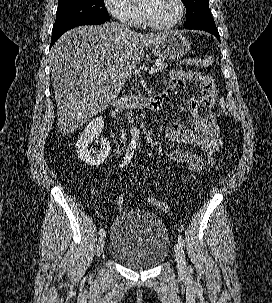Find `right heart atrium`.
<instances>
[{"mask_svg":"<svg viewBox=\"0 0 272 303\" xmlns=\"http://www.w3.org/2000/svg\"><path fill=\"white\" fill-rule=\"evenodd\" d=\"M105 7L111 15L125 24H135L139 11L131 0H104Z\"/></svg>","mask_w":272,"mask_h":303,"instance_id":"1","label":"right heart atrium"}]
</instances>
